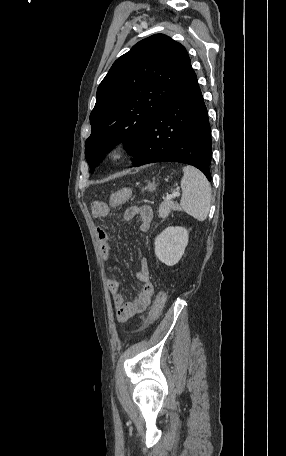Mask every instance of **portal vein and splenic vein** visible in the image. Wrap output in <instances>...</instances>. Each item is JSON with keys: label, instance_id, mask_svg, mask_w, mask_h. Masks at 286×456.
<instances>
[{"label": "portal vein and splenic vein", "instance_id": "18ae733b", "mask_svg": "<svg viewBox=\"0 0 286 456\" xmlns=\"http://www.w3.org/2000/svg\"><path fill=\"white\" fill-rule=\"evenodd\" d=\"M176 196H180V193L179 192H174L172 194H169L166 196V199L167 200H171L172 198H175Z\"/></svg>", "mask_w": 286, "mask_h": 456}]
</instances>
